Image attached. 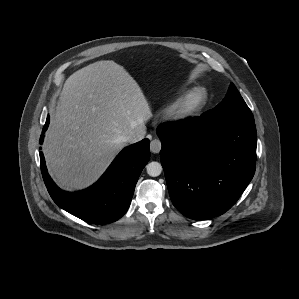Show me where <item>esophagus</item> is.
<instances>
[{
  "label": "esophagus",
  "instance_id": "obj_1",
  "mask_svg": "<svg viewBox=\"0 0 299 299\" xmlns=\"http://www.w3.org/2000/svg\"><path fill=\"white\" fill-rule=\"evenodd\" d=\"M162 148L161 141L158 139H154L150 143V150L152 153H159Z\"/></svg>",
  "mask_w": 299,
  "mask_h": 299
}]
</instances>
